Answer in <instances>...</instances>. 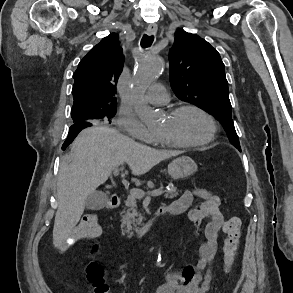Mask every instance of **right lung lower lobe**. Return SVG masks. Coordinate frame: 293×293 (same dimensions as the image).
Masks as SVG:
<instances>
[{"mask_svg": "<svg viewBox=\"0 0 293 293\" xmlns=\"http://www.w3.org/2000/svg\"><path fill=\"white\" fill-rule=\"evenodd\" d=\"M92 123L89 122V121H81V122H76L74 123L70 129H69V133H68V137L67 139L65 140L63 146H62V149L65 150L66 147L71 144V142L74 140V138L78 135V133L86 128V127H89L91 126Z\"/></svg>", "mask_w": 293, "mask_h": 293, "instance_id": "right-lung-lower-lobe-1", "label": "right lung lower lobe"}]
</instances>
